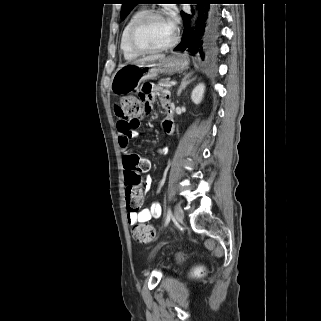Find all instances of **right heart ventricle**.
Masks as SVG:
<instances>
[{
    "label": "right heart ventricle",
    "instance_id": "1",
    "mask_svg": "<svg viewBox=\"0 0 321 321\" xmlns=\"http://www.w3.org/2000/svg\"><path fill=\"white\" fill-rule=\"evenodd\" d=\"M143 13H144L143 9H139V10L135 11L130 16V18L127 20V22H126V24H125V26H124V28L122 30L121 36H120V50H121V53H122L124 59L129 60V61L130 60H134V59H136V58H138L140 56V54L134 52L130 48V46L128 44V34H129L130 28L133 25V23Z\"/></svg>",
    "mask_w": 321,
    "mask_h": 321
}]
</instances>
